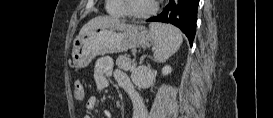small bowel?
<instances>
[{"instance_id": "c3829d8e", "label": "small bowel", "mask_w": 273, "mask_h": 118, "mask_svg": "<svg viewBox=\"0 0 273 118\" xmlns=\"http://www.w3.org/2000/svg\"><path fill=\"white\" fill-rule=\"evenodd\" d=\"M109 76H113L120 87L129 96L132 102L131 118H144L145 107L143 101L130 78L124 72L114 68L113 60L110 57L98 58L93 70V79L98 90H102L107 87ZM97 103L98 99L95 95H93L87 99L85 106L88 110H93L96 108ZM104 117L112 118V113L107 110L104 112ZM86 118L90 117L86 116Z\"/></svg>"}]
</instances>
